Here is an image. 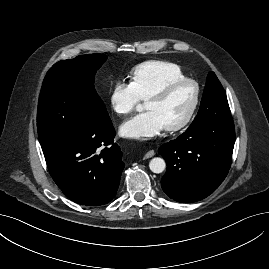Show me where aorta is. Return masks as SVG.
<instances>
[{"mask_svg": "<svg viewBox=\"0 0 269 269\" xmlns=\"http://www.w3.org/2000/svg\"><path fill=\"white\" fill-rule=\"evenodd\" d=\"M149 168L153 173H162L166 168L164 159L160 157L153 158L149 163Z\"/></svg>", "mask_w": 269, "mask_h": 269, "instance_id": "762f6f07", "label": "aorta"}]
</instances>
